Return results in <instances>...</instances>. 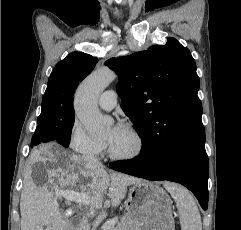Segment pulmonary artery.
I'll list each match as a JSON object with an SVG mask.
<instances>
[{"mask_svg": "<svg viewBox=\"0 0 241 230\" xmlns=\"http://www.w3.org/2000/svg\"><path fill=\"white\" fill-rule=\"evenodd\" d=\"M99 106L103 110H112L117 103V96L114 90H106L99 97Z\"/></svg>", "mask_w": 241, "mask_h": 230, "instance_id": "e3ab8cb5", "label": "pulmonary artery"}]
</instances>
